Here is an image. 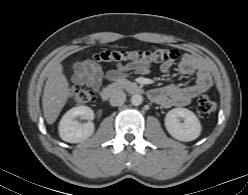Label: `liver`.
Here are the masks:
<instances>
[{"instance_id":"1","label":"liver","mask_w":248,"mask_h":195,"mask_svg":"<svg viewBox=\"0 0 248 195\" xmlns=\"http://www.w3.org/2000/svg\"><path fill=\"white\" fill-rule=\"evenodd\" d=\"M68 96L69 83L63 74V66L61 63H55L51 67L42 98L44 117L48 124H53L56 121L68 100Z\"/></svg>"}]
</instances>
